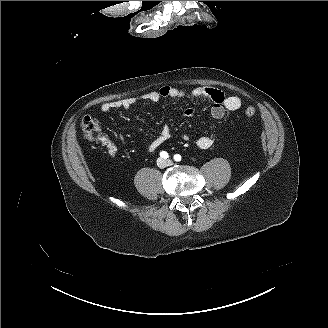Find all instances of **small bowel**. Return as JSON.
<instances>
[{"mask_svg": "<svg viewBox=\"0 0 328 328\" xmlns=\"http://www.w3.org/2000/svg\"><path fill=\"white\" fill-rule=\"evenodd\" d=\"M169 98L174 100L182 99H208L213 105L211 107V116L216 120H221L225 118L228 114L233 113L240 109L242 102L237 96H226L221 90L210 88V87H197L191 90H184L173 86H163L158 90L150 91L145 93L140 97H126L118 100H113L105 102L101 105V111L107 113L115 109H128L132 107L139 101H149L157 102L160 99ZM194 114V109L188 107L184 110L183 116L186 118L192 117ZM172 135L171 129L167 126H163L160 129L159 135L152 140L147 150L148 152H153L159 148L165 141H167ZM121 140L124 138L120 136ZM182 139L184 141H189L191 139L188 133L182 134ZM101 143L106 147V150L111 158H115L118 153L117 146L107 137L103 136L100 138ZM213 144V139L210 136L203 135L196 140V145L202 149L206 150L210 148Z\"/></svg>", "mask_w": 328, "mask_h": 328, "instance_id": "obj_1", "label": "small bowel"}]
</instances>
